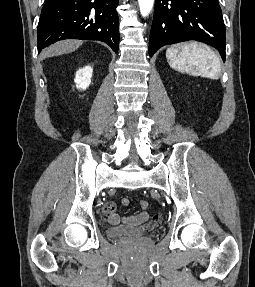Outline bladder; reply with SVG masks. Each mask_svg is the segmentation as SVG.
Wrapping results in <instances>:
<instances>
[{
    "label": "bladder",
    "instance_id": "obj_1",
    "mask_svg": "<svg viewBox=\"0 0 255 287\" xmlns=\"http://www.w3.org/2000/svg\"><path fill=\"white\" fill-rule=\"evenodd\" d=\"M149 233V228L134 226H113L107 229V234L112 238L141 236Z\"/></svg>",
    "mask_w": 255,
    "mask_h": 287
}]
</instances>
